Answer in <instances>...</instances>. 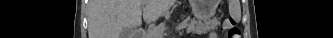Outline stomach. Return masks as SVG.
Here are the masks:
<instances>
[{
    "instance_id": "stomach-1",
    "label": "stomach",
    "mask_w": 333,
    "mask_h": 38,
    "mask_svg": "<svg viewBox=\"0 0 333 38\" xmlns=\"http://www.w3.org/2000/svg\"><path fill=\"white\" fill-rule=\"evenodd\" d=\"M193 2H196V1H193ZM193 12H194V14L196 13L194 10H193ZM198 14H200V13L198 12Z\"/></svg>"
}]
</instances>
